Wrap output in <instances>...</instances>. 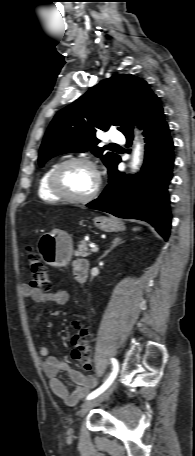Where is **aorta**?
Returning <instances> with one entry per match:
<instances>
[{"instance_id": "1", "label": "aorta", "mask_w": 195, "mask_h": 456, "mask_svg": "<svg viewBox=\"0 0 195 456\" xmlns=\"http://www.w3.org/2000/svg\"><path fill=\"white\" fill-rule=\"evenodd\" d=\"M140 144L138 143L134 149V153H133V158H132V163H131V166L133 169H137L138 165L140 164Z\"/></svg>"}]
</instances>
